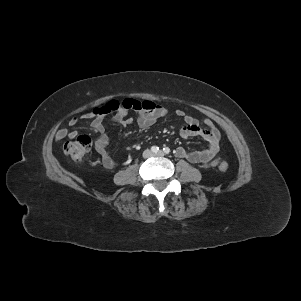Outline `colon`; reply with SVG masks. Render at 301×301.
<instances>
[{
	"label": "colon",
	"instance_id": "5ec220e1",
	"mask_svg": "<svg viewBox=\"0 0 301 301\" xmlns=\"http://www.w3.org/2000/svg\"><path fill=\"white\" fill-rule=\"evenodd\" d=\"M124 106L123 102L110 101L100 108H95L96 113L117 112ZM91 149V139L87 135H79L72 141H68L63 146V152L66 157L76 163H82L86 160ZM219 170L225 172L229 169L227 162H221L218 166Z\"/></svg>",
	"mask_w": 301,
	"mask_h": 301
}]
</instances>
